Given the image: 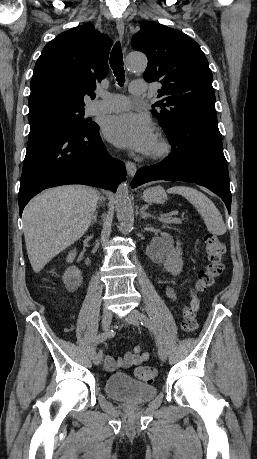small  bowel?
<instances>
[{"mask_svg": "<svg viewBox=\"0 0 257 459\" xmlns=\"http://www.w3.org/2000/svg\"><path fill=\"white\" fill-rule=\"evenodd\" d=\"M165 292L171 303L177 301V292L171 285L165 286ZM190 306L193 310L197 311L200 306V301L197 296L193 295ZM149 353L142 352L140 346H134L129 352H127L123 357L114 359L113 357L106 355L104 357L105 369L109 372H112L118 368H128L132 366H137L148 360Z\"/></svg>", "mask_w": 257, "mask_h": 459, "instance_id": "1", "label": "small bowel"}]
</instances>
